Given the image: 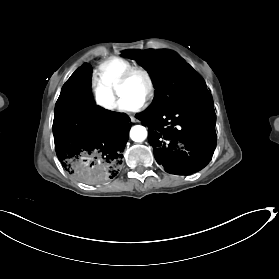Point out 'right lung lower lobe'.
Returning a JSON list of instances; mask_svg holds the SVG:
<instances>
[{
	"mask_svg": "<svg viewBox=\"0 0 279 279\" xmlns=\"http://www.w3.org/2000/svg\"><path fill=\"white\" fill-rule=\"evenodd\" d=\"M91 68L84 63L62 87L53 134L63 168L80 181L100 185L118 175L131 123L125 113L96 105L90 96Z\"/></svg>",
	"mask_w": 279,
	"mask_h": 279,
	"instance_id": "obj_1",
	"label": "right lung lower lobe"
}]
</instances>
